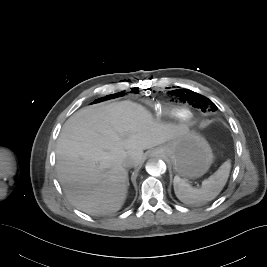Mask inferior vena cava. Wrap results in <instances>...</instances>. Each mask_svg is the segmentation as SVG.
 Wrapping results in <instances>:
<instances>
[{
	"mask_svg": "<svg viewBox=\"0 0 267 267\" xmlns=\"http://www.w3.org/2000/svg\"><path fill=\"white\" fill-rule=\"evenodd\" d=\"M123 165L127 168H130L134 166V162L131 159H125Z\"/></svg>",
	"mask_w": 267,
	"mask_h": 267,
	"instance_id": "602c4592",
	"label": "inferior vena cava"
}]
</instances>
